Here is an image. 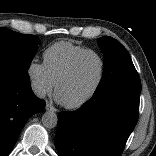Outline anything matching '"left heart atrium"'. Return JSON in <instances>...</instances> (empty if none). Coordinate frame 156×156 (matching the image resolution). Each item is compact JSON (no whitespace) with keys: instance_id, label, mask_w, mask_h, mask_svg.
Instances as JSON below:
<instances>
[{"instance_id":"obj_1","label":"left heart atrium","mask_w":156,"mask_h":156,"mask_svg":"<svg viewBox=\"0 0 156 156\" xmlns=\"http://www.w3.org/2000/svg\"><path fill=\"white\" fill-rule=\"evenodd\" d=\"M59 102H61V100L59 98H57Z\"/></svg>"}]
</instances>
